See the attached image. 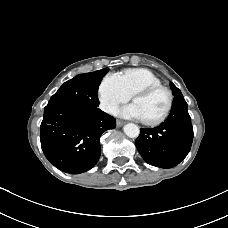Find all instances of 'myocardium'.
Returning a JSON list of instances; mask_svg holds the SVG:
<instances>
[{
	"label": "myocardium",
	"instance_id": "f54148a6",
	"mask_svg": "<svg viewBox=\"0 0 228 228\" xmlns=\"http://www.w3.org/2000/svg\"><path fill=\"white\" fill-rule=\"evenodd\" d=\"M159 90H162L167 94L168 100H167L166 108L158 117L154 119H147V120L143 119V123L146 125H150V126L156 125L161 123L163 120L167 118L173 106V99H174L173 93L168 87L160 84V85H151V86L142 87L132 94V100L134 101V99L137 97L147 96Z\"/></svg>",
	"mask_w": 228,
	"mask_h": 228
}]
</instances>
